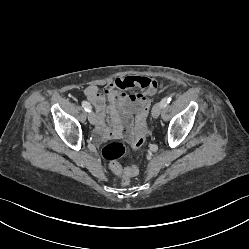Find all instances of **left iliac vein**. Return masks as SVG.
<instances>
[{
	"instance_id": "4c4485c4",
	"label": "left iliac vein",
	"mask_w": 249,
	"mask_h": 249,
	"mask_svg": "<svg viewBox=\"0 0 249 249\" xmlns=\"http://www.w3.org/2000/svg\"><path fill=\"white\" fill-rule=\"evenodd\" d=\"M162 108L163 107L161 106V102L155 104L153 109H152V117L157 118L160 115Z\"/></svg>"
}]
</instances>
